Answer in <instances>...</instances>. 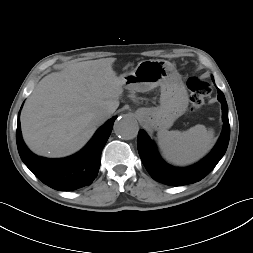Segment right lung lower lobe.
<instances>
[{"mask_svg": "<svg viewBox=\"0 0 253 253\" xmlns=\"http://www.w3.org/2000/svg\"><path fill=\"white\" fill-rule=\"evenodd\" d=\"M116 116L98 129L88 144L78 153L62 159L36 156L25 146L22 139L20 118L16 131L19 155L24 164L44 184L60 191L76 190L92 183L100 168L101 152L105 146Z\"/></svg>", "mask_w": 253, "mask_h": 253, "instance_id": "1", "label": "right lung lower lobe"}]
</instances>
